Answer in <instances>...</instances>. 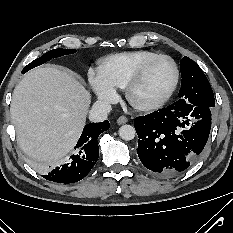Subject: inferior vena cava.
Instances as JSON below:
<instances>
[{"label":"inferior vena cava","instance_id":"1","mask_svg":"<svg viewBox=\"0 0 233 233\" xmlns=\"http://www.w3.org/2000/svg\"><path fill=\"white\" fill-rule=\"evenodd\" d=\"M111 110L112 107L109 103L96 101L89 112V119L92 122H102L107 119Z\"/></svg>","mask_w":233,"mask_h":233}]
</instances>
